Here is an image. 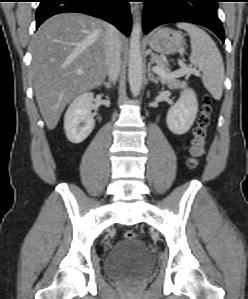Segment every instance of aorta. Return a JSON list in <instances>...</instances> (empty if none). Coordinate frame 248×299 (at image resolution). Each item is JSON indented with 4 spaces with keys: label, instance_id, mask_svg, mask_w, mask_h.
I'll use <instances>...</instances> for the list:
<instances>
[{
    "label": "aorta",
    "instance_id": "1",
    "mask_svg": "<svg viewBox=\"0 0 248 299\" xmlns=\"http://www.w3.org/2000/svg\"><path fill=\"white\" fill-rule=\"evenodd\" d=\"M141 18L137 17L131 32L129 60H128V79L134 97H137L142 87L143 63L141 55Z\"/></svg>",
    "mask_w": 248,
    "mask_h": 299
}]
</instances>
